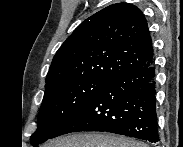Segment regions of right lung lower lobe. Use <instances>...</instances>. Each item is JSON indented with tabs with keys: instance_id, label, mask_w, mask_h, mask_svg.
<instances>
[{
	"instance_id": "1",
	"label": "right lung lower lobe",
	"mask_w": 183,
	"mask_h": 147,
	"mask_svg": "<svg viewBox=\"0 0 183 147\" xmlns=\"http://www.w3.org/2000/svg\"><path fill=\"white\" fill-rule=\"evenodd\" d=\"M155 95L153 64L125 73L95 93L59 127L54 137L100 131L158 142Z\"/></svg>"
}]
</instances>
